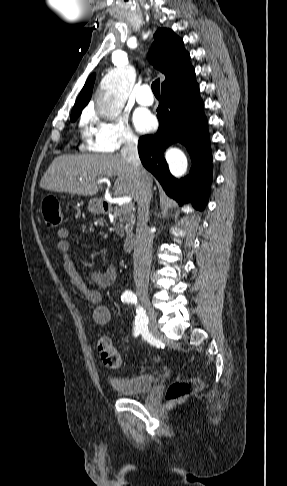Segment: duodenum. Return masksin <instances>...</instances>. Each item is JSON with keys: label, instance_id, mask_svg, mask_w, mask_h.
Returning <instances> with one entry per match:
<instances>
[{"label": "duodenum", "instance_id": "duodenum-1", "mask_svg": "<svg viewBox=\"0 0 287 486\" xmlns=\"http://www.w3.org/2000/svg\"><path fill=\"white\" fill-rule=\"evenodd\" d=\"M101 207H102V210L105 213H110L112 211V206L107 201H102ZM134 245H135V235H134L133 232H130L125 236L124 243H123V249L126 252H130V251L133 250Z\"/></svg>", "mask_w": 287, "mask_h": 486}]
</instances>
